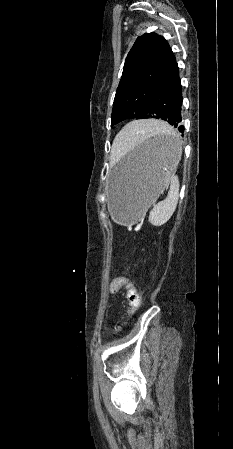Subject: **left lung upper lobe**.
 Returning a JSON list of instances; mask_svg holds the SVG:
<instances>
[{"label": "left lung upper lobe", "mask_w": 233, "mask_h": 449, "mask_svg": "<svg viewBox=\"0 0 233 449\" xmlns=\"http://www.w3.org/2000/svg\"><path fill=\"white\" fill-rule=\"evenodd\" d=\"M178 69L166 39L156 33L139 37L128 53L113 103L111 126L145 118L155 94Z\"/></svg>", "instance_id": "5c2ea615"}]
</instances>
